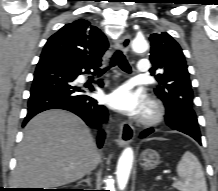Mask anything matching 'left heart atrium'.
<instances>
[{
    "label": "left heart atrium",
    "mask_w": 218,
    "mask_h": 191,
    "mask_svg": "<svg viewBox=\"0 0 218 191\" xmlns=\"http://www.w3.org/2000/svg\"><path fill=\"white\" fill-rule=\"evenodd\" d=\"M107 102L112 108L129 115H140L146 108L147 97L143 90H134L124 84L109 94Z\"/></svg>",
    "instance_id": "left-heart-atrium-1"
}]
</instances>
